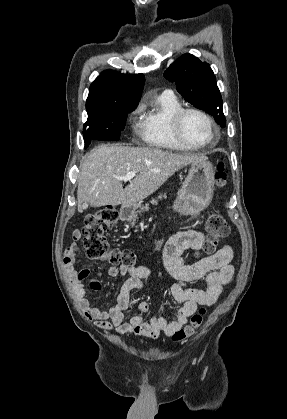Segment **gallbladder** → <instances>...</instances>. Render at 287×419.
I'll list each match as a JSON object with an SVG mask.
<instances>
[{
  "instance_id": "gallbladder-1",
  "label": "gallbladder",
  "mask_w": 287,
  "mask_h": 419,
  "mask_svg": "<svg viewBox=\"0 0 287 419\" xmlns=\"http://www.w3.org/2000/svg\"><path fill=\"white\" fill-rule=\"evenodd\" d=\"M82 207H83V210H86V209L88 208V204H87V203H84V204L82 205Z\"/></svg>"
}]
</instances>
